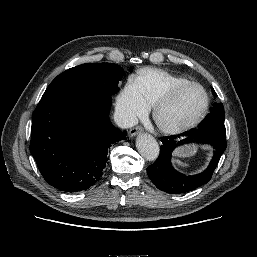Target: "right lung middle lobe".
Wrapping results in <instances>:
<instances>
[{"mask_svg": "<svg viewBox=\"0 0 257 257\" xmlns=\"http://www.w3.org/2000/svg\"><path fill=\"white\" fill-rule=\"evenodd\" d=\"M124 70L113 63L82 64L58 75L44 92L42 99L66 93H97L112 96Z\"/></svg>", "mask_w": 257, "mask_h": 257, "instance_id": "1", "label": "right lung middle lobe"}]
</instances>
